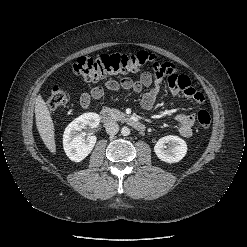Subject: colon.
Listing matches in <instances>:
<instances>
[{"mask_svg": "<svg viewBox=\"0 0 247 247\" xmlns=\"http://www.w3.org/2000/svg\"><path fill=\"white\" fill-rule=\"evenodd\" d=\"M150 63L155 73L160 74L164 66L155 62L153 54L144 51L132 55L114 53L96 57L83 56L74 63L73 71L86 81L94 82L108 75L136 72ZM68 100V94L60 87L55 86L47 98V107L51 111H55L65 106ZM197 123L202 129L209 128L211 125L210 114L206 110H200L197 113Z\"/></svg>", "mask_w": 247, "mask_h": 247, "instance_id": "5ec220e1", "label": "colon"}]
</instances>
